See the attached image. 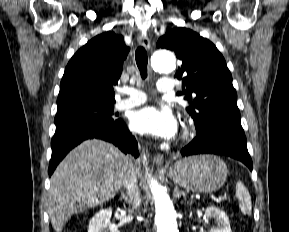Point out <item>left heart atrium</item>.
Masks as SVG:
<instances>
[{
  "label": "left heart atrium",
  "mask_w": 289,
  "mask_h": 232,
  "mask_svg": "<svg viewBox=\"0 0 289 232\" xmlns=\"http://www.w3.org/2000/svg\"><path fill=\"white\" fill-rule=\"evenodd\" d=\"M133 130L141 134L170 139L177 132V123L167 109L146 106L135 111L130 120Z\"/></svg>",
  "instance_id": "1"
}]
</instances>
